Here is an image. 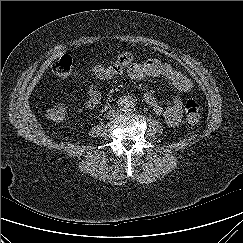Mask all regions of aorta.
<instances>
[{
  "instance_id": "obj_1",
  "label": "aorta",
  "mask_w": 243,
  "mask_h": 243,
  "mask_svg": "<svg viewBox=\"0 0 243 243\" xmlns=\"http://www.w3.org/2000/svg\"><path fill=\"white\" fill-rule=\"evenodd\" d=\"M135 105V100L131 96H123L118 100V107L123 112L132 111Z\"/></svg>"
}]
</instances>
